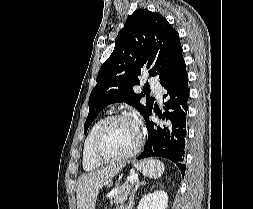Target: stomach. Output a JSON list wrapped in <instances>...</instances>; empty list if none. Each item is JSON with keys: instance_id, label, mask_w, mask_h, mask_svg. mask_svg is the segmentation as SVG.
<instances>
[{"instance_id": "obj_1", "label": "stomach", "mask_w": 253, "mask_h": 209, "mask_svg": "<svg viewBox=\"0 0 253 209\" xmlns=\"http://www.w3.org/2000/svg\"><path fill=\"white\" fill-rule=\"evenodd\" d=\"M102 184H103V186H110L111 183H110V181H103ZM101 190H102V192H107L108 189H107V187H102Z\"/></svg>"}]
</instances>
